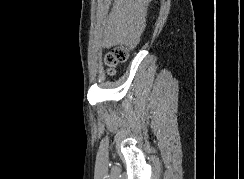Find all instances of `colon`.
Segmentation results:
<instances>
[{
    "label": "colon",
    "mask_w": 244,
    "mask_h": 179,
    "mask_svg": "<svg viewBox=\"0 0 244 179\" xmlns=\"http://www.w3.org/2000/svg\"><path fill=\"white\" fill-rule=\"evenodd\" d=\"M128 57V52L123 46H115L106 54V62L109 66L108 72L109 74H114V67L126 61Z\"/></svg>",
    "instance_id": "colon-1"
}]
</instances>
